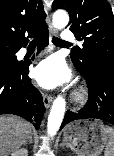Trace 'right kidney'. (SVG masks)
I'll list each match as a JSON object with an SVG mask.
<instances>
[{
	"mask_svg": "<svg viewBox=\"0 0 114 156\" xmlns=\"http://www.w3.org/2000/svg\"><path fill=\"white\" fill-rule=\"evenodd\" d=\"M11 156H28V151L27 149L22 148L13 152Z\"/></svg>",
	"mask_w": 114,
	"mask_h": 156,
	"instance_id": "obj_1",
	"label": "right kidney"
}]
</instances>
